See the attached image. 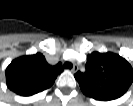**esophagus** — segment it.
<instances>
[{
  "label": "esophagus",
  "instance_id": "1",
  "mask_svg": "<svg viewBox=\"0 0 133 106\" xmlns=\"http://www.w3.org/2000/svg\"><path fill=\"white\" fill-rule=\"evenodd\" d=\"M71 71H72L73 73L77 72V71H78V66H77V65H73Z\"/></svg>",
  "mask_w": 133,
  "mask_h": 106
}]
</instances>
